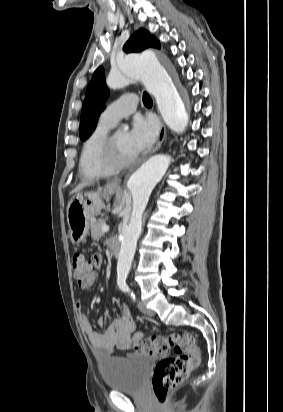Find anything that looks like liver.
<instances>
[{"label": "liver", "instance_id": "6515ba94", "mask_svg": "<svg viewBox=\"0 0 283 412\" xmlns=\"http://www.w3.org/2000/svg\"><path fill=\"white\" fill-rule=\"evenodd\" d=\"M87 184H88L87 182H84V183L79 184V185L72 191V193L77 192V191H80V190H81L83 187H85ZM69 203H70V202H68L67 209H68V207H69Z\"/></svg>", "mask_w": 283, "mask_h": 412}]
</instances>
